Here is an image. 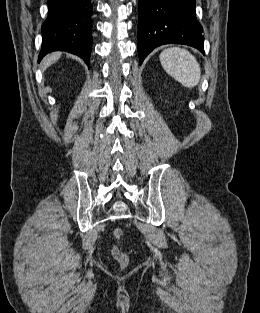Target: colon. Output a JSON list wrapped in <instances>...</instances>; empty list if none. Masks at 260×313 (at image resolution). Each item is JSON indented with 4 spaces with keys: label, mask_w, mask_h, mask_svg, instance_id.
Returning <instances> with one entry per match:
<instances>
[{
    "label": "colon",
    "mask_w": 260,
    "mask_h": 313,
    "mask_svg": "<svg viewBox=\"0 0 260 313\" xmlns=\"http://www.w3.org/2000/svg\"><path fill=\"white\" fill-rule=\"evenodd\" d=\"M113 239L119 242L123 238V230L120 228H115L112 231ZM112 256L120 264L122 268L126 267L129 263V255L123 251L119 246L114 245L111 249Z\"/></svg>",
    "instance_id": "obj_1"
}]
</instances>
